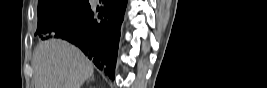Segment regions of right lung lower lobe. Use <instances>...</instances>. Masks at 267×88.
Here are the masks:
<instances>
[{"label":"right lung lower lobe","mask_w":267,"mask_h":88,"mask_svg":"<svg viewBox=\"0 0 267 88\" xmlns=\"http://www.w3.org/2000/svg\"><path fill=\"white\" fill-rule=\"evenodd\" d=\"M96 17L89 5L70 21L58 25L51 36L78 46L105 74L114 79L120 29L127 0L102 1Z\"/></svg>","instance_id":"right-lung-lower-lobe-1"}]
</instances>
